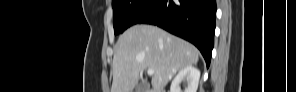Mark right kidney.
I'll use <instances>...</instances> for the list:
<instances>
[{"mask_svg":"<svg viewBox=\"0 0 296 92\" xmlns=\"http://www.w3.org/2000/svg\"><path fill=\"white\" fill-rule=\"evenodd\" d=\"M200 79V71L194 66L180 70L171 83L170 92H181L180 84L186 80L188 85L184 92H196Z\"/></svg>","mask_w":296,"mask_h":92,"instance_id":"ca27d5eb","label":"right kidney"}]
</instances>
